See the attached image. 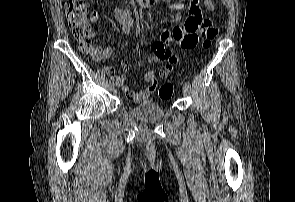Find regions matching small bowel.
I'll return each mask as SVG.
<instances>
[{
    "label": "small bowel",
    "instance_id": "1",
    "mask_svg": "<svg viewBox=\"0 0 295 202\" xmlns=\"http://www.w3.org/2000/svg\"><path fill=\"white\" fill-rule=\"evenodd\" d=\"M204 9L208 12H212L215 9L213 0H203ZM184 7L183 3L174 4L168 7L169 10H179ZM189 16L183 26L166 25L161 34L158 42L149 43L148 47L151 48V55L154 57L155 64L165 63L161 69L160 76L166 78L173 69V66L179 61L178 56L174 53V47H180L183 49L193 48L198 39V33L206 28L208 23H212L210 18H204L200 6V0H190L188 6ZM113 16L116 21L122 26L124 34H129L132 30L134 21L128 10L114 9ZM93 21H96L99 14L96 10H93L90 14ZM85 52V51H84ZM92 57L96 60L108 58L113 54V51L108 47L91 46L90 51ZM128 63H123V68H127ZM106 73L115 81V83L122 87L123 92L128 99L135 103L142 102L150 98L155 90H149V85L141 91L135 92L125 84V76L118 74L112 67L105 68ZM145 80L155 79V75L144 76Z\"/></svg>",
    "mask_w": 295,
    "mask_h": 202
}]
</instances>
